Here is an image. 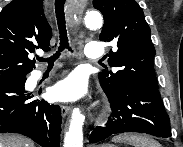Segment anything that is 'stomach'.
Returning <instances> with one entry per match:
<instances>
[{"label": "stomach", "mask_w": 183, "mask_h": 147, "mask_svg": "<svg viewBox=\"0 0 183 147\" xmlns=\"http://www.w3.org/2000/svg\"><path fill=\"white\" fill-rule=\"evenodd\" d=\"M100 147H115V146L112 145V144H103V145H101Z\"/></svg>", "instance_id": "stomach-1"}]
</instances>
